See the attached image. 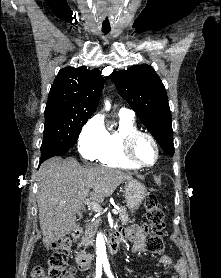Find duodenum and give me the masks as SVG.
<instances>
[{"instance_id": "410a0bca", "label": "duodenum", "mask_w": 221, "mask_h": 278, "mask_svg": "<svg viewBox=\"0 0 221 278\" xmlns=\"http://www.w3.org/2000/svg\"><path fill=\"white\" fill-rule=\"evenodd\" d=\"M83 230L81 227L75 228L73 231V237L79 238L82 234ZM123 234L120 230L114 231L109 236L108 241V249L111 254H116L121 246ZM93 256L90 253H78L76 255V263L78 264L79 268L82 270H86L89 268L90 264L92 263Z\"/></svg>"}]
</instances>
